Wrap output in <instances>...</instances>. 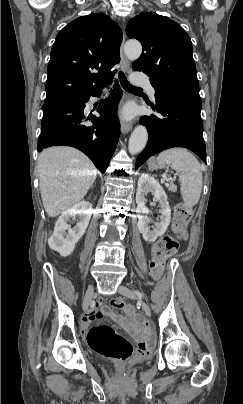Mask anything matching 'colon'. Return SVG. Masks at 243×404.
Returning a JSON list of instances; mask_svg holds the SVG:
<instances>
[{
    "instance_id": "5ec220e1",
    "label": "colon",
    "mask_w": 243,
    "mask_h": 404,
    "mask_svg": "<svg viewBox=\"0 0 243 404\" xmlns=\"http://www.w3.org/2000/svg\"><path fill=\"white\" fill-rule=\"evenodd\" d=\"M190 216V209L185 205H179L175 210L172 233L163 237L154 245L150 266L152 275L156 280L162 279L167 259L178 250L180 240L185 237ZM111 304L128 314L133 313L132 307L121 299H115ZM87 341L94 351L106 358L125 361L133 353L131 343L107 324L90 328L87 332ZM152 347V340L142 341L139 344V352L142 355H148Z\"/></svg>"
}]
</instances>
